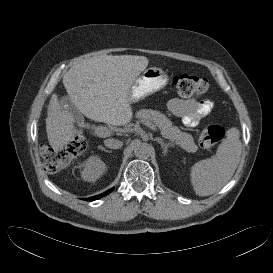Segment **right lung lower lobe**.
<instances>
[{
	"label": "right lung lower lobe",
	"instance_id": "1",
	"mask_svg": "<svg viewBox=\"0 0 273 273\" xmlns=\"http://www.w3.org/2000/svg\"><path fill=\"white\" fill-rule=\"evenodd\" d=\"M112 190H113V188H111L110 190L106 191V192L103 193V194H100V195H97V196H94V197H90V198L85 199V200L94 201V200L99 199V198H101V197H103V196H106V195L109 194Z\"/></svg>",
	"mask_w": 273,
	"mask_h": 273
}]
</instances>
